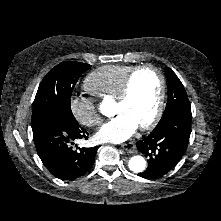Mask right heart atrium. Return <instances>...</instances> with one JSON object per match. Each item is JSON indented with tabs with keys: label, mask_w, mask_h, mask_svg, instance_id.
Returning <instances> with one entry per match:
<instances>
[{
	"label": "right heart atrium",
	"mask_w": 221,
	"mask_h": 221,
	"mask_svg": "<svg viewBox=\"0 0 221 221\" xmlns=\"http://www.w3.org/2000/svg\"><path fill=\"white\" fill-rule=\"evenodd\" d=\"M69 109L75 120L85 127H95L102 122V117L90 96L72 95Z\"/></svg>",
	"instance_id": "obj_1"
}]
</instances>
